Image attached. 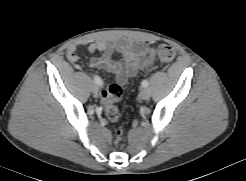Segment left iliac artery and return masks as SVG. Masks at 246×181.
<instances>
[{"label":"left iliac artery","instance_id":"obj_1","mask_svg":"<svg viewBox=\"0 0 246 181\" xmlns=\"http://www.w3.org/2000/svg\"><path fill=\"white\" fill-rule=\"evenodd\" d=\"M149 85V82L147 80L142 81V86L147 87Z\"/></svg>","mask_w":246,"mask_h":181}]
</instances>
